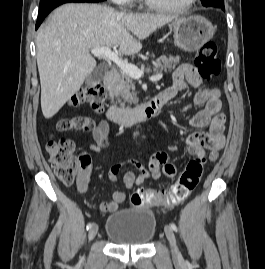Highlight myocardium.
I'll list each match as a JSON object with an SVG mask.
<instances>
[{
  "label": "myocardium",
  "instance_id": "1",
  "mask_svg": "<svg viewBox=\"0 0 265 269\" xmlns=\"http://www.w3.org/2000/svg\"><path fill=\"white\" fill-rule=\"evenodd\" d=\"M148 7L158 11L184 12L190 9L197 0H189L182 5H167L155 0H142Z\"/></svg>",
  "mask_w": 265,
  "mask_h": 269
}]
</instances>
